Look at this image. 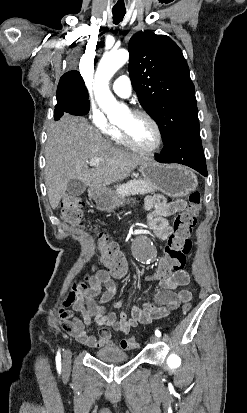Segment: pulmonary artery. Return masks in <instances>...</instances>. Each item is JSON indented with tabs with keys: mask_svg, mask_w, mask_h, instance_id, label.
Here are the masks:
<instances>
[{
	"mask_svg": "<svg viewBox=\"0 0 247 413\" xmlns=\"http://www.w3.org/2000/svg\"><path fill=\"white\" fill-rule=\"evenodd\" d=\"M111 88L116 95L127 98L132 94L131 78L126 74L120 75L111 83Z\"/></svg>",
	"mask_w": 247,
	"mask_h": 413,
	"instance_id": "e3ab8cb5",
	"label": "pulmonary artery"
}]
</instances>
